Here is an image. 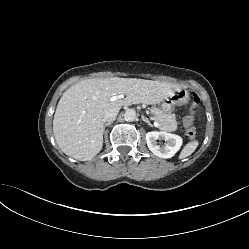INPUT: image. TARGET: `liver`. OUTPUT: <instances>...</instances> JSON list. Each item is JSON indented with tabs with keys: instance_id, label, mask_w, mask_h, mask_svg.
Instances as JSON below:
<instances>
[{
	"instance_id": "6515ba94",
	"label": "liver",
	"mask_w": 249,
	"mask_h": 249,
	"mask_svg": "<svg viewBox=\"0 0 249 249\" xmlns=\"http://www.w3.org/2000/svg\"><path fill=\"white\" fill-rule=\"evenodd\" d=\"M179 90L177 84L137 78H100L80 81L61 96L53 119L56 143L68 156L91 160L103 146L104 114L123 105L157 104ZM118 94L124 100L110 101Z\"/></svg>"
}]
</instances>
